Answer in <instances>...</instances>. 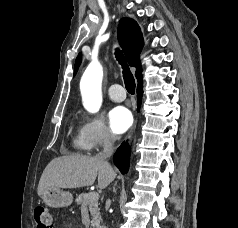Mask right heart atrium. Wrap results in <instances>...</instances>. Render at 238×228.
Wrapping results in <instances>:
<instances>
[{
	"label": "right heart atrium",
	"mask_w": 238,
	"mask_h": 228,
	"mask_svg": "<svg viewBox=\"0 0 238 228\" xmlns=\"http://www.w3.org/2000/svg\"><path fill=\"white\" fill-rule=\"evenodd\" d=\"M86 150L95 151L113 144L114 136L100 116H84L79 130Z\"/></svg>",
	"instance_id": "1"
}]
</instances>
